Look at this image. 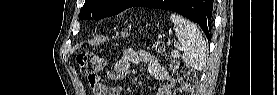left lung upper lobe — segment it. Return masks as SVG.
<instances>
[{"label": "left lung upper lobe", "mask_w": 277, "mask_h": 95, "mask_svg": "<svg viewBox=\"0 0 277 95\" xmlns=\"http://www.w3.org/2000/svg\"><path fill=\"white\" fill-rule=\"evenodd\" d=\"M139 0H85L79 19H103L133 7ZM176 0H159L161 9L173 5Z\"/></svg>", "instance_id": "1"}]
</instances>
